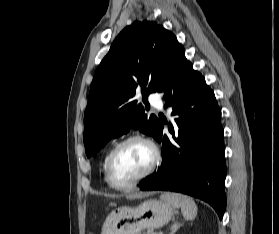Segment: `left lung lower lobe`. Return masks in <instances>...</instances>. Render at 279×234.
Instances as JSON below:
<instances>
[{
    "mask_svg": "<svg viewBox=\"0 0 279 234\" xmlns=\"http://www.w3.org/2000/svg\"><path fill=\"white\" fill-rule=\"evenodd\" d=\"M157 92L172 110L173 138L162 134L159 122L155 139L162 143L163 162L157 172L139 183L143 191L167 190L208 202L220 219L226 207L225 148L221 110L204 77L193 70L182 47L175 55Z\"/></svg>",
    "mask_w": 279,
    "mask_h": 234,
    "instance_id": "1",
    "label": "left lung lower lobe"
}]
</instances>
